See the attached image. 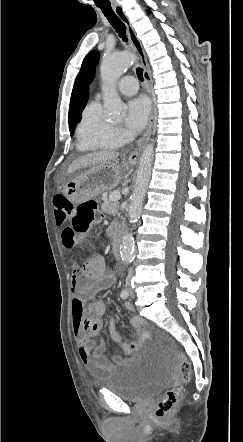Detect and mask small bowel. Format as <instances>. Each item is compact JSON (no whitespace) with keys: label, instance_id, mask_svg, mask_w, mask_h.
I'll list each match as a JSON object with an SVG mask.
<instances>
[{"label":"small bowel","instance_id":"obj_1","mask_svg":"<svg viewBox=\"0 0 243 442\" xmlns=\"http://www.w3.org/2000/svg\"><path fill=\"white\" fill-rule=\"evenodd\" d=\"M72 270L73 330L79 356L91 375L100 377L129 363L131 356L141 348V343L124 342L117 331L115 320L111 319L108 324L110 336L128 357L113 355L108 358L105 355V343L94 338L103 328L102 318L107 307L103 301H91V298L95 293L112 287L116 281L115 276L106 272L104 261L99 255L90 257L83 265L74 263ZM126 308L131 310L132 305L127 303ZM129 323L139 331L145 329V322L140 317L130 318Z\"/></svg>","mask_w":243,"mask_h":442}]
</instances>
